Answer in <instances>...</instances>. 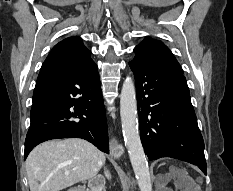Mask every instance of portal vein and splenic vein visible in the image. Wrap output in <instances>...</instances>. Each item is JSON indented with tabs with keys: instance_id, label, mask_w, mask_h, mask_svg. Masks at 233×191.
<instances>
[{
	"instance_id": "obj_1",
	"label": "portal vein and splenic vein",
	"mask_w": 233,
	"mask_h": 191,
	"mask_svg": "<svg viewBox=\"0 0 233 191\" xmlns=\"http://www.w3.org/2000/svg\"><path fill=\"white\" fill-rule=\"evenodd\" d=\"M65 175H69V172H65Z\"/></svg>"
}]
</instances>
